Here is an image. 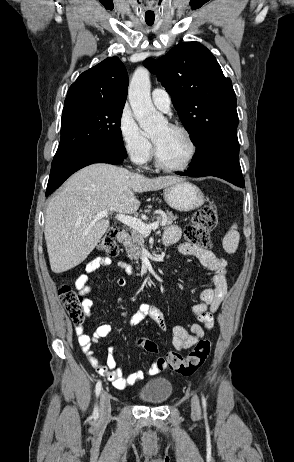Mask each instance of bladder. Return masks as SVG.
I'll return each mask as SVG.
<instances>
[{
	"instance_id": "bladder-1",
	"label": "bladder",
	"mask_w": 294,
	"mask_h": 462,
	"mask_svg": "<svg viewBox=\"0 0 294 462\" xmlns=\"http://www.w3.org/2000/svg\"><path fill=\"white\" fill-rule=\"evenodd\" d=\"M173 394V384L169 378L161 377L146 382L139 390L138 399L150 406H158L166 401Z\"/></svg>"
}]
</instances>
